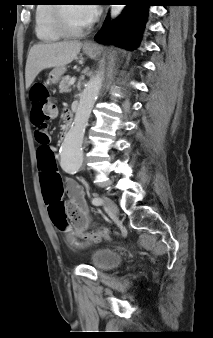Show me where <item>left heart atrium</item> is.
Here are the masks:
<instances>
[{
	"label": "left heart atrium",
	"mask_w": 213,
	"mask_h": 338,
	"mask_svg": "<svg viewBox=\"0 0 213 338\" xmlns=\"http://www.w3.org/2000/svg\"><path fill=\"white\" fill-rule=\"evenodd\" d=\"M79 11L88 24L94 22L99 14L97 5H82Z\"/></svg>",
	"instance_id": "1"
}]
</instances>
